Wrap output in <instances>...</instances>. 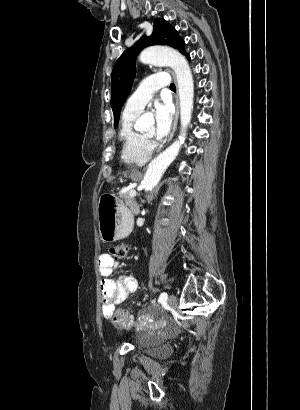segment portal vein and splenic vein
<instances>
[{"instance_id":"18ae733b","label":"portal vein and splenic vein","mask_w":300,"mask_h":410,"mask_svg":"<svg viewBox=\"0 0 300 410\" xmlns=\"http://www.w3.org/2000/svg\"><path fill=\"white\" fill-rule=\"evenodd\" d=\"M136 194H137V192H136L135 190H131V191L129 192V195H130L131 197L136 196Z\"/></svg>"}]
</instances>
